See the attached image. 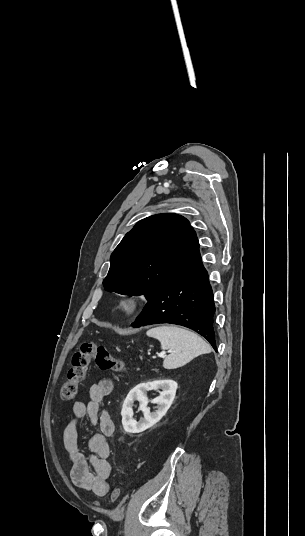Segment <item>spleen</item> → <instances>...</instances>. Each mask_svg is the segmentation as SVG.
I'll return each mask as SVG.
<instances>
[{
  "instance_id": "1",
  "label": "spleen",
  "mask_w": 305,
  "mask_h": 536,
  "mask_svg": "<svg viewBox=\"0 0 305 536\" xmlns=\"http://www.w3.org/2000/svg\"><path fill=\"white\" fill-rule=\"evenodd\" d=\"M149 338H156L161 344L162 350H172L169 356L164 358L163 368L165 370H175L185 366L201 354H210L211 346L204 342L198 334L189 332L187 328L179 326H163L158 324V328H152L146 332Z\"/></svg>"
}]
</instances>
